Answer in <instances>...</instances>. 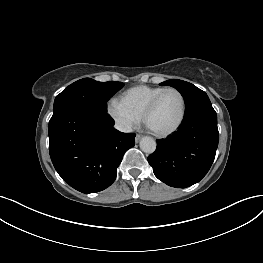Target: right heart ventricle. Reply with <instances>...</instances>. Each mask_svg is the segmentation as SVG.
Listing matches in <instances>:
<instances>
[{"mask_svg": "<svg viewBox=\"0 0 263 263\" xmlns=\"http://www.w3.org/2000/svg\"><path fill=\"white\" fill-rule=\"evenodd\" d=\"M165 87L139 85L125 91L121 102L133 113L142 117L149 102Z\"/></svg>", "mask_w": 263, "mask_h": 263, "instance_id": "right-heart-ventricle-1", "label": "right heart ventricle"}]
</instances>
